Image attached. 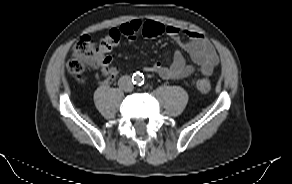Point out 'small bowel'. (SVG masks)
<instances>
[{"label":"small bowel","mask_w":292,"mask_h":184,"mask_svg":"<svg viewBox=\"0 0 292 184\" xmlns=\"http://www.w3.org/2000/svg\"><path fill=\"white\" fill-rule=\"evenodd\" d=\"M144 22L133 19L123 23L119 27L121 35L125 36L130 42H134L138 34L142 33ZM163 34L180 43L182 48L190 55L193 64H187L184 56L176 52L168 65L159 62L145 67V71L156 73L163 79H183L195 71H199L204 76L213 74L219 62V57L214 46L204 35L191 30L182 31L174 25H164ZM183 32L187 41H182L180 34ZM114 57L108 51L100 50L95 54L94 66L98 68L106 82L112 81L119 74L120 70L113 64Z\"/></svg>","instance_id":"obj_1"}]
</instances>
